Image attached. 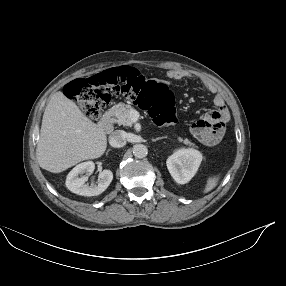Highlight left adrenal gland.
<instances>
[{
  "label": "left adrenal gland",
  "instance_id": "1",
  "mask_svg": "<svg viewBox=\"0 0 286 286\" xmlns=\"http://www.w3.org/2000/svg\"><path fill=\"white\" fill-rule=\"evenodd\" d=\"M164 138H166V137H157V138L151 139V140H152L153 142H155V141H157V140L164 139Z\"/></svg>",
  "mask_w": 286,
  "mask_h": 286
}]
</instances>
